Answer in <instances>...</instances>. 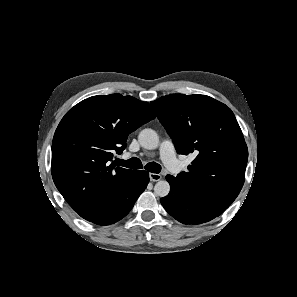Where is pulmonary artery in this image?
Wrapping results in <instances>:
<instances>
[{"mask_svg":"<svg viewBox=\"0 0 297 297\" xmlns=\"http://www.w3.org/2000/svg\"><path fill=\"white\" fill-rule=\"evenodd\" d=\"M160 155L165 166L172 172H177L179 169V162L175 155L174 144L170 139L162 141L160 146Z\"/></svg>","mask_w":297,"mask_h":297,"instance_id":"e3ab8cb5","label":"pulmonary artery"}]
</instances>
